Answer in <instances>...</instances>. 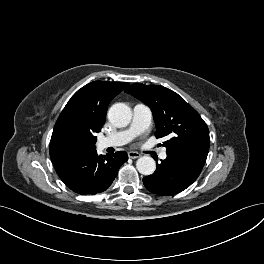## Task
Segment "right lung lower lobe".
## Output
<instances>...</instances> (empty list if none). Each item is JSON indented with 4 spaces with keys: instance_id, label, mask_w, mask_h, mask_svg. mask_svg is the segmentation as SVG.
Segmentation results:
<instances>
[{
    "instance_id": "98d812e1",
    "label": "right lung lower lobe",
    "mask_w": 264,
    "mask_h": 264,
    "mask_svg": "<svg viewBox=\"0 0 264 264\" xmlns=\"http://www.w3.org/2000/svg\"><path fill=\"white\" fill-rule=\"evenodd\" d=\"M127 160L124 151L103 156L94 150L55 169L64 184L75 193L96 194L108 189Z\"/></svg>"
}]
</instances>
